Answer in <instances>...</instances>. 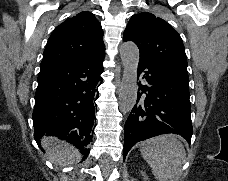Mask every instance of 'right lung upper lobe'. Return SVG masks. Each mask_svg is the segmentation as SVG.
Here are the masks:
<instances>
[{
    "label": "right lung upper lobe",
    "mask_w": 228,
    "mask_h": 181,
    "mask_svg": "<svg viewBox=\"0 0 228 181\" xmlns=\"http://www.w3.org/2000/svg\"><path fill=\"white\" fill-rule=\"evenodd\" d=\"M104 51L100 23L92 13L83 11L53 31L44 50L41 70L104 55Z\"/></svg>",
    "instance_id": "right-lung-upper-lobe-1"
}]
</instances>
